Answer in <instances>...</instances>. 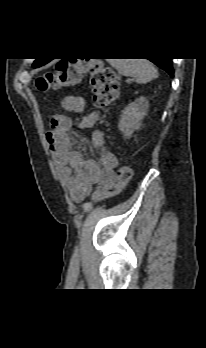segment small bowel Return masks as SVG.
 I'll use <instances>...</instances> for the list:
<instances>
[{"instance_id": "small-bowel-1", "label": "small bowel", "mask_w": 206, "mask_h": 348, "mask_svg": "<svg viewBox=\"0 0 206 348\" xmlns=\"http://www.w3.org/2000/svg\"><path fill=\"white\" fill-rule=\"evenodd\" d=\"M62 107L70 112L79 113L85 108V101L79 96H65ZM98 120L96 114L85 116L79 123L81 130L92 129ZM71 119L65 115H53L46 132V141L52 150L54 163L61 181L68 189L74 202H82L90 193L93 185H112L116 182L115 169L117 157L105 149L102 132L94 130L91 144L96 149L99 162L84 158L83 154L72 148L69 137Z\"/></svg>"}]
</instances>
